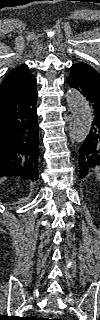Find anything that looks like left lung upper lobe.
I'll list each match as a JSON object with an SVG mask.
<instances>
[{"label": "left lung upper lobe", "instance_id": "obj_1", "mask_svg": "<svg viewBox=\"0 0 100 320\" xmlns=\"http://www.w3.org/2000/svg\"><path fill=\"white\" fill-rule=\"evenodd\" d=\"M71 71L77 72L81 76L96 83L100 87V74L90 65L83 62L74 64L71 67Z\"/></svg>", "mask_w": 100, "mask_h": 320}]
</instances>
